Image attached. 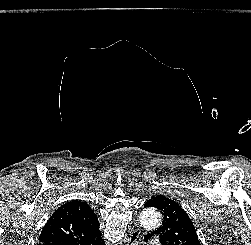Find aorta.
I'll return each instance as SVG.
<instances>
[{
    "instance_id": "aorta-1",
    "label": "aorta",
    "mask_w": 251,
    "mask_h": 245,
    "mask_svg": "<svg viewBox=\"0 0 251 245\" xmlns=\"http://www.w3.org/2000/svg\"><path fill=\"white\" fill-rule=\"evenodd\" d=\"M140 223L148 229H156L161 224V215L155 209H146L140 214Z\"/></svg>"
}]
</instances>
